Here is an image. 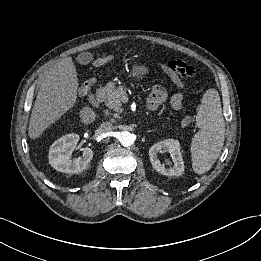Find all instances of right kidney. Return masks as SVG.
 <instances>
[{
    "label": "right kidney",
    "instance_id": "right-kidney-1",
    "mask_svg": "<svg viewBox=\"0 0 261 261\" xmlns=\"http://www.w3.org/2000/svg\"><path fill=\"white\" fill-rule=\"evenodd\" d=\"M79 141L78 134H68L56 140L49 149V163L57 171L63 173H80L85 170L93 157L92 149L83 148L80 158L71 160V154Z\"/></svg>",
    "mask_w": 261,
    "mask_h": 261
}]
</instances>
